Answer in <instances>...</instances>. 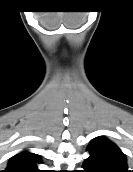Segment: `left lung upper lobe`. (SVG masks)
I'll return each mask as SVG.
<instances>
[{"mask_svg":"<svg viewBox=\"0 0 133 172\" xmlns=\"http://www.w3.org/2000/svg\"><path fill=\"white\" fill-rule=\"evenodd\" d=\"M88 151L90 156L84 162V172H129L125 154L105 137L95 138Z\"/></svg>","mask_w":133,"mask_h":172,"instance_id":"5c2ea615","label":"left lung upper lobe"}]
</instances>
